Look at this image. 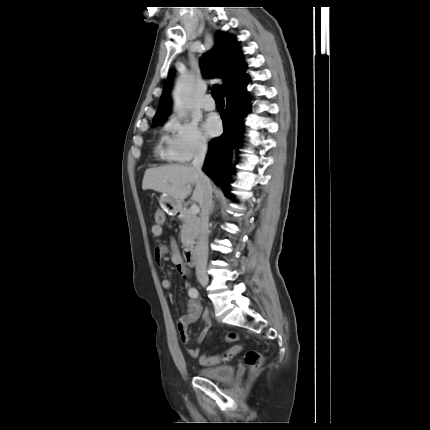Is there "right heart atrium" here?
Returning <instances> with one entry per match:
<instances>
[{
	"label": "right heart atrium",
	"instance_id": "right-heart-atrium-1",
	"mask_svg": "<svg viewBox=\"0 0 430 430\" xmlns=\"http://www.w3.org/2000/svg\"><path fill=\"white\" fill-rule=\"evenodd\" d=\"M163 155L175 162H187L207 150V142L196 122L172 116L164 126Z\"/></svg>",
	"mask_w": 430,
	"mask_h": 430
}]
</instances>
